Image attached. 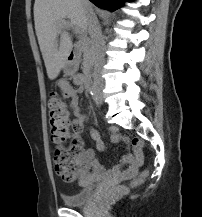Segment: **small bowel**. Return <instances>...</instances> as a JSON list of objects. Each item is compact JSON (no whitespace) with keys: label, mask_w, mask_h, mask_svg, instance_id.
Masks as SVG:
<instances>
[{"label":"small bowel","mask_w":202,"mask_h":217,"mask_svg":"<svg viewBox=\"0 0 202 217\" xmlns=\"http://www.w3.org/2000/svg\"><path fill=\"white\" fill-rule=\"evenodd\" d=\"M73 83L78 86V89H75L66 80L58 81L57 87L65 97L70 98L69 106L75 115V118L73 120H68L67 136H72L81 140L80 133L84 128L85 116L81 113L79 107L78 93L83 90V76L75 75L73 77ZM90 135L91 138L96 141L97 149L99 151L104 150L105 146L100 138L99 133L96 130L91 129ZM111 141L113 143H123L125 145L129 144V139L119 134L116 129H112ZM79 159L82 173L88 174L91 171L98 175L106 173L104 167L97 161L93 150H84ZM143 162L144 155L141 147H134V153L125 154L122 157L120 163L112 169L111 174L117 179L121 180L133 178L137 174L138 169L143 164Z\"/></svg>","instance_id":"c3829d8e"}]
</instances>
